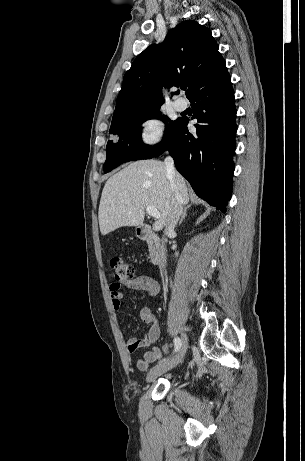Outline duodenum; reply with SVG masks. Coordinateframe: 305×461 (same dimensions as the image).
I'll list each match as a JSON object with an SVG mask.
<instances>
[{"mask_svg":"<svg viewBox=\"0 0 305 461\" xmlns=\"http://www.w3.org/2000/svg\"><path fill=\"white\" fill-rule=\"evenodd\" d=\"M139 235L149 248V262L153 265L158 264L161 260V241L147 225L139 228Z\"/></svg>","mask_w":305,"mask_h":461,"instance_id":"410a0bca","label":"duodenum"}]
</instances>
